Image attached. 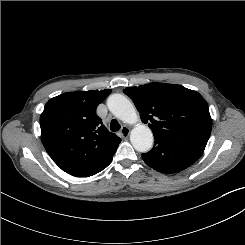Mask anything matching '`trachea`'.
I'll use <instances>...</instances> for the list:
<instances>
[{"mask_svg":"<svg viewBox=\"0 0 245 245\" xmlns=\"http://www.w3.org/2000/svg\"><path fill=\"white\" fill-rule=\"evenodd\" d=\"M121 128L119 122L116 119H113L110 123L111 131H118Z\"/></svg>","mask_w":245,"mask_h":245,"instance_id":"trachea-1","label":"trachea"}]
</instances>
